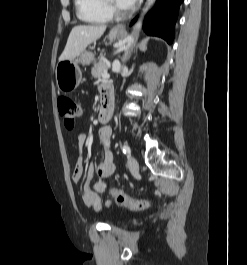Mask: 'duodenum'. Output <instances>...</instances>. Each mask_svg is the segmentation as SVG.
Listing matches in <instances>:
<instances>
[{
  "instance_id": "410a0bca",
  "label": "duodenum",
  "mask_w": 247,
  "mask_h": 265,
  "mask_svg": "<svg viewBox=\"0 0 247 265\" xmlns=\"http://www.w3.org/2000/svg\"><path fill=\"white\" fill-rule=\"evenodd\" d=\"M112 115V92L111 89L102 90L101 109L99 112L100 122H106L110 120Z\"/></svg>"
}]
</instances>
